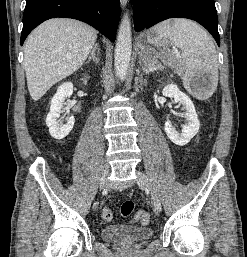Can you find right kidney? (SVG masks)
Wrapping results in <instances>:
<instances>
[{
    "label": "right kidney",
    "mask_w": 247,
    "mask_h": 257,
    "mask_svg": "<svg viewBox=\"0 0 247 257\" xmlns=\"http://www.w3.org/2000/svg\"><path fill=\"white\" fill-rule=\"evenodd\" d=\"M84 83L86 84L87 80H84ZM72 93L73 84L66 82L58 87L56 94L51 99L50 112L46 118V125L49 128L50 135L56 140L64 139L74 126L75 119L73 116L67 118L65 124L60 123L58 120L65 99L70 97Z\"/></svg>",
    "instance_id": "ca27d5eb"
}]
</instances>
